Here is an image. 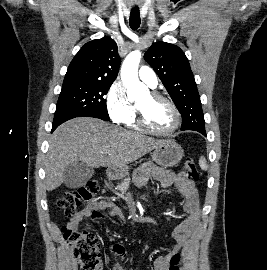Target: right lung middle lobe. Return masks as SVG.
Returning <instances> with one entry per match:
<instances>
[{
  "label": "right lung middle lobe",
  "instance_id": "obj_1",
  "mask_svg": "<svg viewBox=\"0 0 267 270\" xmlns=\"http://www.w3.org/2000/svg\"><path fill=\"white\" fill-rule=\"evenodd\" d=\"M111 85L109 82L98 81H64L55 114H98L109 117L104 95Z\"/></svg>",
  "mask_w": 267,
  "mask_h": 270
}]
</instances>
